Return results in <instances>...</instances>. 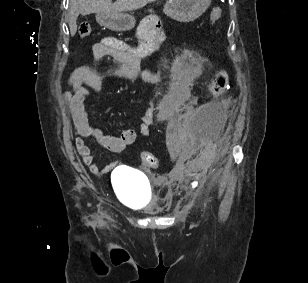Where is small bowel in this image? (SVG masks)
<instances>
[{
  "mask_svg": "<svg viewBox=\"0 0 308 283\" xmlns=\"http://www.w3.org/2000/svg\"><path fill=\"white\" fill-rule=\"evenodd\" d=\"M139 43L132 47L114 37H105L92 46L93 56L97 59L109 57L115 60L119 66L106 75L98 73L94 68L82 66L76 68L70 75L68 83L73 87V93L65 92L68 100L74 126L78 137L75 139V147L83 162L94 174H106L110 172L116 163L100 167L95 163V155L85 142L92 138L101 146L113 153L123 151L134 143L136 132L133 129H124L120 135L113 136L104 133L94 127L88 120L85 101L90 94L85 86L95 90H102L112 80L141 79L147 83H157L159 76L141 68V60L155 51L162 40L160 22L157 18L145 19L138 29ZM188 99V93L183 90L170 91L163 96L157 105V116L161 120L167 119L177 111ZM154 118V109L148 107L140 116L139 133L149 136L150 126Z\"/></svg>",
  "mask_w": 308,
  "mask_h": 283,
  "instance_id": "small-bowel-1",
  "label": "small bowel"
}]
</instances>
